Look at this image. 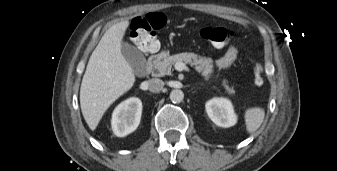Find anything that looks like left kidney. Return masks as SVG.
I'll use <instances>...</instances> for the list:
<instances>
[{
  "instance_id": "left-kidney-1",
  "label": "left kidney",
  "mask_w": 337,
  "mask_h": 171,
  "mask_svg": "<svg viewBox=\"0 0 337 171\" xmlns=\"http://www.w3.org/2000/svg\"><path fill=\"white\" fill-rule=\"evenodd\" d=\"M205 107L209 118L217 126L228 128L236 124L237 116L230 100L213 98L206 103Z\"/></svg>"
}]
</instances>
